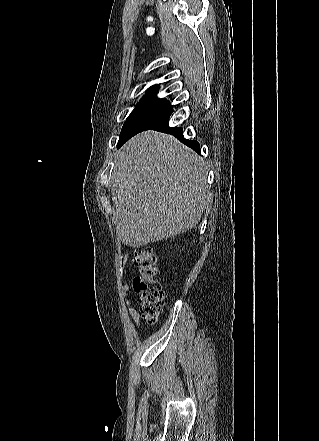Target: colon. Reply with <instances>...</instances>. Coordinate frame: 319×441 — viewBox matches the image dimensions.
Here are the masks:
<instances>
[{"mask_svg": "<svg viewBox=\"0 0 319 441\" xmlns=\"http://www.w3.org/2000/svg\"><path fill=\"white\" fill-rule=\"evenodd\" d=\"M132 261L138 271L133 289L140 304V314L147 323L153 324L164 308V292L157 278L155 252L150 247L136 249Z\"/></svg>", "mask_w": 319, "mask_h": 441, "instance_id": "obj_1", "label": "colon"}]
</instances>
